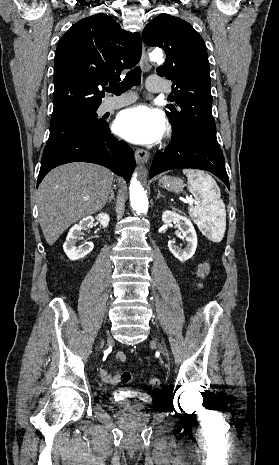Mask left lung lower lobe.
<instances>
[{"mask_svg":"<svg viewBox=\"0 0 279 465\" xmlns=\"http://www.w3.org/2000/svg\"><path fill=\"white\" fill-rule=\"evenodd\" d=\"M195 168L209 171L229 188L225 161L219 144L194 134L172 137L165 150L156 154L149 177L166 170ZM230 189V188H229Z\"/></svg>","mask_w":279,"mask_h":465,"instance_id":"obj_1","label":"left lung lower lobe"}]
</instances>
